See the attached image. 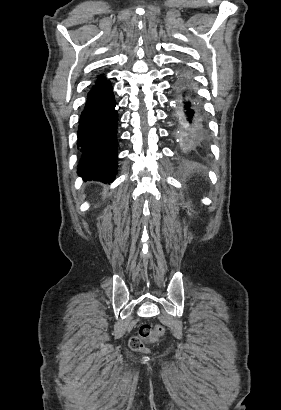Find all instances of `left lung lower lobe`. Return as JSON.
I'll list each match as a JSON object with an SVG mask.
<instances>
[{
	"label": "left lung lower lobe",
	"mask_w": 281,
	"mask_h": 410,
	"mask_svg": "<svg viewBox=\"0 0 281 410\" xmlns=\"http://www.w3.org/2000/svg\"><path fill=\"white\" fill-rule=\"evenodd\" d=\"M176 106L179 138L193 149H205L208 145V128L187 74L181 77Z\"/></svg>",
	"instance_id": "1"
}]
</instances>
